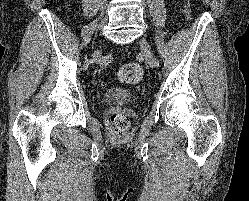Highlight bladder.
I'll use <instances>...</instances> for the list:
<instances>
[{
  "mask_svg": "<svg viewBox=\"0 0 249 201\" xmlns=\"http://www.w3.org/2000/svg\"><path fill=\"white\" fill-rule=\"evenodd\" d=\"M136 99L135 95L126 89L121 88H111L107 90L104 96V102H121V103H128L133 102Z\"/></svg>",
  "mask_w": 249,
  "mask_h": 201,
  "instance_id": "31cf9c89",
  "label": "bladder"
}]
</instances>
